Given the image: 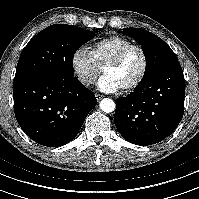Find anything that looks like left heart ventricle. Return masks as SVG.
<instances>
[{
	"instance_id": "b2bd125f",
	"label": "left heart ventricle",
	"mask_w": 199,
	"mask_h": 199,
	"mask_svg": "<svg viewBox=\"0 0 199 199\" xmlns=\"http://www.w3.org/2000/svg\"><path fill=\"white\" fill-rule=\"evenodd\" d=\"M142 65L143 59L140 51L133 49L117 67L106 69L103 74L111 77L122 88L136 79L141 72Z\"/></svg>"
}]
</instances>
